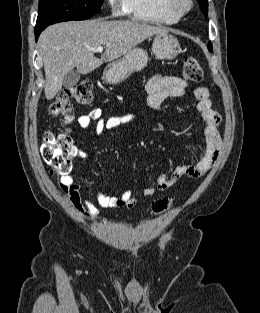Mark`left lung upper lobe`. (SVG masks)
<instances>
[{
  "mask_svg": "<svg viewBox=\"0 0 260 313\" xmlns=\"http://www.w3.org/2000/svg\"><path fill=\"white\" fill-rule=\"evenodd\" d=\"M199 4L201 5L202 12L205 17L208 15V2L207 0H198ZM208 49L209 51H212V44L208 43Z\"/></svg>",
  "mask_w": 260,
  "mask_h": 313,
  "instance_id": "1",
  "label": "left lung upper lobe"
}]
</instances>
